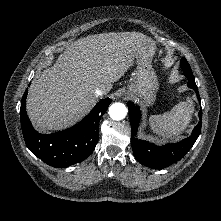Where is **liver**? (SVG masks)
<instances>
[{
    "label": "liver",
    "instance_id": "6515ba94",
    "mask_svg": "<svg viewBox=\"0 0 221 221\" xmlns=\"http://www.w3.org/2000/svg\"><path fill=\"white\" fill-rule=\"evenodd\" d=\"M150 42L155 45L139 32L101 33L73 42L54 66L34 78L27 97L34 127L48 132L79 121L96 104L95 90L107 94Z\"/></svg>",
    "mask_w": 221,
    "mask_h": 221
}]
</instances>
